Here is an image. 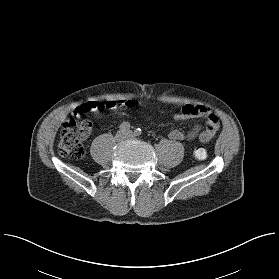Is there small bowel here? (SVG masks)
Listing matches in <instances>:
<instances>
[{"mask_svg": "<svg viewBox=\"0 0 279 279\" xmlns=\"http://www.w3.org/2000/svg\"><path fill=\"white\" fill-rule=\"evenodd\" d=\"M164 103L167 101L162 100ZM127 101L125 100H116V99H99L94 100L91 104H85L81 107L75 108L71 115L78 117L83 112L91 111L94 109L102 108L104 110H112L119 106H125ZM173 117L175 120H186L194 117L206 118V127L203 131L200 132V126L194 125L187 133H184L180 130L174 129L171 130L168 134V137L171 140L183 141V140H193L199 138L200 141H203L206 138V141L210 140L216 132V129L219 128V119L215 113L205 106H193L185 105L183 106L180 112L174 113Z\"/></svg>", "mask_w": 279, "mask_h": 279, "instance_id": "c3829d8e", "label": "small bowel"}]
</instances>
